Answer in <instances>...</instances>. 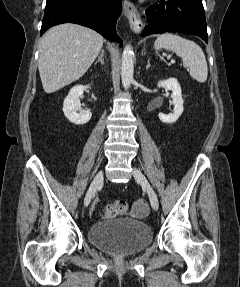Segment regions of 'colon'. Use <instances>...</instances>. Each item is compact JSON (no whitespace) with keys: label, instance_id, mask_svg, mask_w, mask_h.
Instances as JSON below:
<instances>
[{"label":"colon","instance_id":"5ec220e1","mask_svg":"<svg viewBox=\"0 0 240 287\" xmlns=\"http://www.w3.org/2000/svg\"><path fill=\"white\" fill-rule=\"evenodd\" d=\"M128 209V204L125 200H117L109 204L104 210L106 218H113L118 215L124 214Z\"/></svg>","mask_w":240,"mask_h":287}]
</instances>
